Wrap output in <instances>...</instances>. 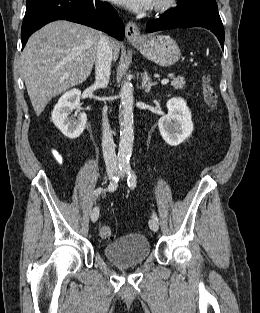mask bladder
I'll return each mask as SVG.
<instances>
[{
	"mask_svg": "<svg viewBox=\"0 0 260 313\" xmlns=\"http://www.w3.org/2000/svg\"><path fill=\"white\" fill-rule=\"evenodd\" d=\"M103 252L109 262L125 267L142 264L150 256L151 248L144 234L133 233L110 242Z\"/></svg>",
	"mask_w": 260,
	"mask_h": 313,
	"instance_id": "obj_1",
	"label": "bladder"
}]
</instances>
